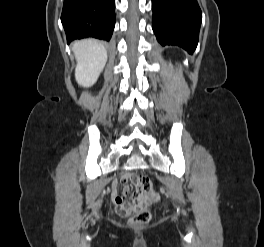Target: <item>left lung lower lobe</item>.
Segmentation results:
<instances>
[{"mask_svg":"<svg viewBox=\"0 0 264 247\" xmlns=\"http://www.w3.org/2000/svg\"><path fill=\"white\" fill-rule=\"evenodd\" d=\"M152 10V28L158 42L193 53L202 21L197 0H152Z\"/></svg>","mask_w":264,"mask_h":247,"instance_id":"0a47b994","label":"left lung lower lobe"}]
</instances>
